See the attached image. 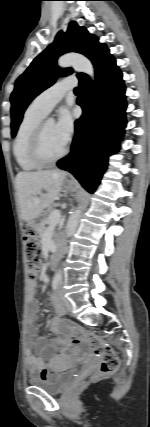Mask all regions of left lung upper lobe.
<instances>
[{"label":"left lung upper lobe","instance_id":"1","mask_svg":"<svg viewBox=\"0 0 150 427\" xmlns=\"http://www.w3.org/2000/svg\"><path fill=\"white\" fill-rule=\"evenodd\" d=\"M68 52L85 55L95 67L109 50L105 44H99L94 35L89 34L75 21L70 22L66 33L60 31L54 42L41 52L16 80L15 89L11 95V134L13 137L16 135L28 104L38 94L54 84L59 75L66 76L73 72L72 68L61 70L55 63L60 55ZM85 76L87 75L84 73L77 74L79 80Z\"/></svg>","mask_w":150,"mask_h":427}]
</instances>
